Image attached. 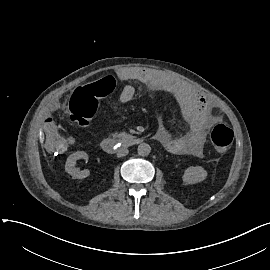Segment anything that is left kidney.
<instances>
[{"instance_id": "5707ae66", "label": "left kidney", "mask_w": 270, "mask_h": 270, "mask_svg": "<svg viewBox=\"0 0 270 270\" xmlns=\"http://www.w3.org/2000/svg\"><path fill=\"white\" fill-rule=\"evenodd\" d=\"M208 177L207 170L202 166H189L182 175V181L186 185H193L205 181Z\"/></svg>"}]
</instances>
